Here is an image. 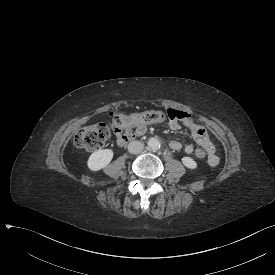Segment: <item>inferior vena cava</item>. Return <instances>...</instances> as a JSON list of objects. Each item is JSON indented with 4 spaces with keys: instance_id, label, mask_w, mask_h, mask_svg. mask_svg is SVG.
I'll use <instances>...</instances> for the list:
<instances>
[{
    "instance_id": "obj_1",
    "label": "inferior vena cava",
    "mask_w": 275,
    "mask_h": 275,
    "mask_svg": "<svg viewBox=\"0 0 275 275\" xmlns=\"http://www.w3.org/2000/svg\"><path fill=\"white\" fill-rule=\"evenodd\" d=\"M143 149H144V145L140 141H132L128 145V151L131 154H139L140 152L143 151Z\"/></svg>"
}]
</instances>
